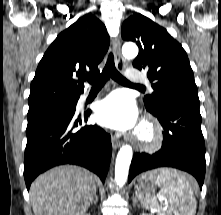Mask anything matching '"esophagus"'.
I'll use <instances>...</instances> for the list:
<instances>
[{
	"instance_id": "esophagus-1",
	"label": "esophagus",
	"mask_w": 221,
	"mask_h": 215,
	"mask_svg": "<svg viewBox=\"0 0 221 215\" xmlns=\"http://www.w3.org/2000/svg\"><path fill=\"white\" fill-rule=\"evenodd\" d=\"M114 55H115V63H116V67L119 71H123L124 67H125V59L123 58L122 54H121V43H120V39L119 37H116L114 39ZM122 144V142L117 139L115 136L112 137V145L113 148L116 149L118 147H120Z\"/></svg>"
}]
</instances>
